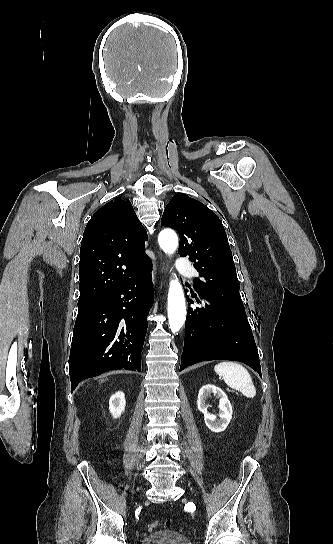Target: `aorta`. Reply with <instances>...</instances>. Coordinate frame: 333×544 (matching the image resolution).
<instances>
[{"label": "aorta", "instance_id": "762f6f07", "mask_svg": "<svg viewBox=\"0 0 333 544\" xmlns=\"http://www.w3.org/2000/svg\"><path fill=\"white\" fill-rule=\"evenodd\" d=\"M162 250L173 254L178 246V237L173 230L164 229L158 236ZM186 304L184 292L178 279L171 280L168 292V321L173 333L178 332L185 322Z\"/></svg>", "mask_w": 333, "mask_h": 544}]
</instances>
